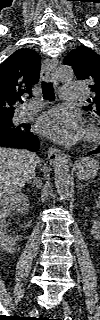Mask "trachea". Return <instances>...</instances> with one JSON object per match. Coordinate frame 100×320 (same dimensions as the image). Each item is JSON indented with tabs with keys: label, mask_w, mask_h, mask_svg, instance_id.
Listing matches in <instances>:
<instances>
[{
	"label": "trachea",
	"mask_w": 100,
	"mask_h": 320,
	"mask_svg": "<svg viewBox=\"0 0 100 320\" xmlns=\"http://www.w3.org/2000/svg\"><path fill=\"white\" fill-rule=\"evenodd\" d=\"M42 93L44 99H53L54 98V89L51 82H42Z\"/></svg>",
	"instance_id": "3493384b"
}]
</instances>
